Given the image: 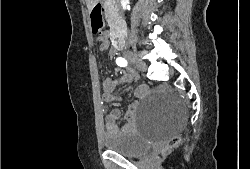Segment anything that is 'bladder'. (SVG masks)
Instances as JSON below:
<instances>
[{
  "label": "bladder",
  "mask_w": 250,
  "mask_h": 169,
  "mask_svg": "<svg viewBox=\"0 0 250 169\" xmlns=\"http://www.w3.org/2000/svg\"><path fill=\"white\" fill-rule=\"evenodd\" d=\"M148 140L145 139V134L136 132L110 133L102 136L105 150L115 151L119 155L128 157L151 149L153 145H148Z\"/></svg>",
  "instance_id": "obj_1"
}]
</instances>
